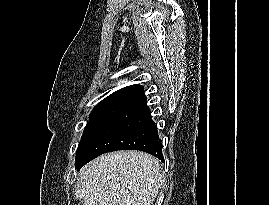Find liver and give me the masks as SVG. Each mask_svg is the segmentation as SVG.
<instances>
[{
	"instance_id": "6515ba94",
	"label": "liver",
	"mask_w": 269,
	"mask_h": 205,
	"mask_svg": "<svg viewBox=\"0 0 269 205\" xmlns=\"http://www.w3.org/2000/svg\"><path fill=\"white\" fill-rule=\"evenodd\" d=\"M162 181L159 160L134 150L98 157L79 178L84 205H151Z\"/></svg>"
}]
</instances>
